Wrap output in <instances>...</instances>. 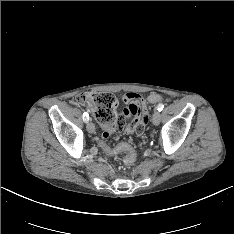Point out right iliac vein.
Here are the masks:
<instances>
[{
  "mask_svg": "<svg viewBox=\"0 0 234 234\" xmlns=\"http://www.w3.org/2000/svg\"><path fill=\"white\" fill-rule=\"evenodd\" d=\"M86 128L89 133L95 132V125L91 121L87 122Z\"/></svg>",
  "mask_w": 234,
  "mask_h": 234,
  "instance_id": "1",
  "label": "right iliac vein"
}]
</instances>
